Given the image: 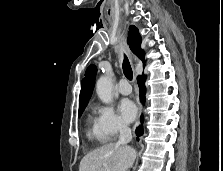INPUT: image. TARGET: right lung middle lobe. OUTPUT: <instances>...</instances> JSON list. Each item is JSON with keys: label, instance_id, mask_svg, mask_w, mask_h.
I'll return each mask as SVG.
<instances>
[{"label": "right lung middle lobe", "instance_id": "right-lung-middle-lobe-1", "mask_svg": "<svg viewBox=\"0 0 223 171\" xmlns=\"http://www.w3.org/2000/svg\"><path fill=\"white\" fill-rule=\"evenodd\" d=\"M85 107H86V106H83V107H80V108H79L78 117H80V116L82 115V113H83Z\"/></svg>", "mask_w": 223, "mask_h": 171}]
</instances>
